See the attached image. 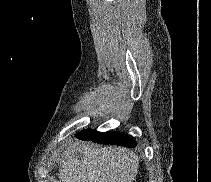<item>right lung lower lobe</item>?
I'll return each instance as SVG.
<instances>
[{
	"label": "right lung lower lobe",
	"instance_id": "1",
	"mask_svg": "<svg viewBox=\"0 0 211 182\" xmlns=\"http://www.w3.org/2000/svg\"><path fill=\"white\" fill-rule=\"evenodd\" d=\"M76 137L86 141H93L101 144L121 145L126 147H135L136 142L128 135L121 132H98L87 129L76 134Z\"/></svg>",
	"mask_w": 211,
	"mask_h": 182
}]
</instances>
